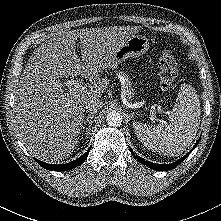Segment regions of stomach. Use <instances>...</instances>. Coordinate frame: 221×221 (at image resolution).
Instances as JSON below:
<instances>
[{"mask_svg": "<svg viewBox=\"0 0 221 221\" xmlns=\"http://www.w3.org/2000/svg\"><path fill=\"white\" fill-rule=\"evenodd\" d=\"M150 47L149 39L142 35L131 36L113 55L108 68H116L121 62L143 55Z\"/></svg>", "mask_w": 221, "mask_h": 221, "instance_id": "obj_1", "label": "stomach"}]
</instances>
